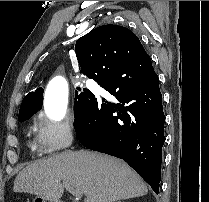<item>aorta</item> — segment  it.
I'll return each mask as SVG.
<instances>
[{"instance_id": "762f6f07", "label": "aorta", "mask_w": 209, "mask_h": 202, "mask_svg": "<svg viewBox=\"0 0 209 202\" xmlns=\"http://www.w3.org/2000/svg\"><path fill=\"white\" fill-rule=\"evenodd\" d=\"M68 84L63 77L53 78L45 91L44 109L46 115L53 121L63 119L67 109Z\"/></svg>"}]
</instances>
